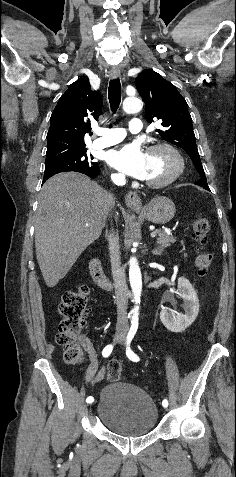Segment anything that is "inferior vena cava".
Here are the masks:
<instances>
[{"instance_id":"obj_1","label":"inferior vena cava","mask_w":236,"mask_h":477,"mask_svg":"<svg viewBox=\"0 0 236 477\" xmlns=\"http://www.w3.org/2000/svg\"><path fill=\"white\" fill-rule=\"evenodd\" d=\"M114 182L117 185H124L126 180L124 176H117L114 178ZM109 250L112 276L115 287V301L117 305V323L123 326H127L128 289L125 273L121 268L118 235L115 234L113 230L109 237Z\"/></svg>"}]
</instances>
